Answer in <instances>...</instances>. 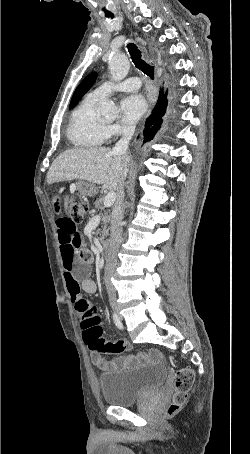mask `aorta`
<instances>
[{"label": "aorta", "instance_id": "762f6f07", "mask_svg": "<svg viewBox=\"0 0 250 454\" xmlns=\"http://www.w3.org/2000/svg\"><path fill=\"white\" fill-rule=\"evenodd\" d=\"M108 68L111 78L114 81H122L129 73L130 63L127 56L124 53L119 52L113 54L109 59ZM98 110L100 113L108 116H115L117 114L116 105L110 99L101 101Z\"/></svg>", "mask_w": 250, "mask_h": 454}]
</instances>
